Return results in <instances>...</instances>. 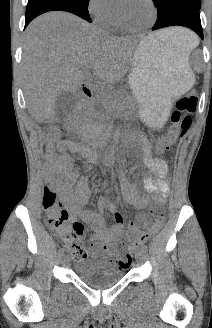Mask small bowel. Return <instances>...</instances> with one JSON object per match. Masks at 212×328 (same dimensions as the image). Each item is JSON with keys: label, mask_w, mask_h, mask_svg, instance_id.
<instances>
[{"label": "small bowel", "mask_w": 212, "mask_h": 328, "mask_svg": "<svg viewBox=\"0 0 212 328\" xmlns=\"http://www.w3.org/2000/svg\"><path fill=\"white\" fill-rule=\"evenodd\" d=\"M79 144L73 141H62L57 145H47L44 154V170L51 179L54 187L61 191L67 204L66 211L70 221L80 223L78 220L88 224L93 235L90 240V248L95 257V265L103 271L119 269L116 263H109L107 258L113 252L119 240L124 236H131L138 228L149 225V217L145 212L138 214L136 222L126 221L125 216L120 213L116 206L105 200L99 201V209L103 213L109 214L115 224L107 228L101 215L85 209L84 206L89 200L90 178L88 176L79 177V172L74 168V164L67 150L79 152ZM144 163L158 180L147 179L144 182L145 190L154 195V200L158 204H163L169 193V172L166 163L151 155L147 143L143 147ZM119 185L122 191L124 202L135 209H144L148 204L147 197L140 195L137 190L128 182L124 173L118 175ZM82 224V223H80ZM83 225V224H82ZM128 225L129 231H125ZM87 258V252L79 259Z\"/></svg>", "instance_id": "obj_1"}]
</instances>
